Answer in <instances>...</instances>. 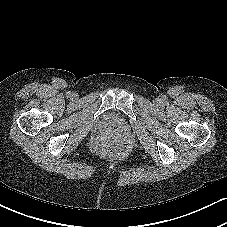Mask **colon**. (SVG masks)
Returning <instances> with one entry per match:
<instances>
[{
  "mask_svg": "<svg viewBox=\"0 0 227 227\" xmlns=\"http://www.w3.org/2000/svg\"><path fill=\"white\" fill-rule=\"evenodd\" d=\"M114 150H115V149H114V147H113V148H112V153H114Z\"/></svg>",
  "mask_w": 227,
  "mask_h": 227,
  "instance_id": "5ec220e1",
  "label": "colon"
}]
</instances>
